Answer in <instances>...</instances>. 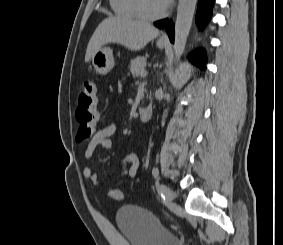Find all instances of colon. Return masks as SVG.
I'll list each match as a JSON object with an SVG mask.
<instances>
[{
    "label": "colon",
    "instance_id": "obj_1",
    "mask_svg": "<svg viewBox=\"0 0 283 245\" xmlns=\"http://www.w3.org/2000/svg\"><path fill=\"white\" fill-rule=\"evenodd\" d=\"M75 115L79 123L76 140L86 141L92 136L96 121V82L93 79L82 83ZM108 195L117 201L125 200L123 193L116 188H110Z\"/></svg>",
    "mask_w": 283,
    "mask_h": 245
}]
</instances>
